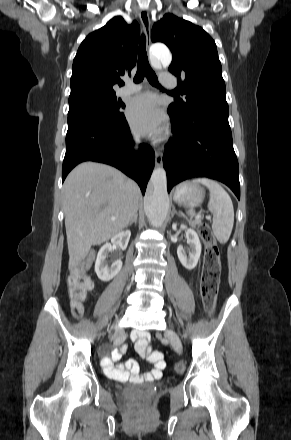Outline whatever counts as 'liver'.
<instances>
[{
    "mask_svg": "<svg viewBox=\"0 0 291 440\" xmlns=\"http://www.w3.org/2000/svg\"><path fill=\"white\" fill-rule=\"evenodd\" d=\"M137 184L119 170L101 163L83 162L63 185V209L69 269L128 226L138 211Z\"/></svg>",
    "mask_w": 291,
    "mask_h": 440,
    "instance_id": "obj_1",
    "label": "liver"
}]
</instances>
